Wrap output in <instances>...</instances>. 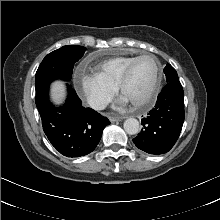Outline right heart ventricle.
<instances>
[{
    "instance_id": "right-heart-ventricle-1",
    "label": "right heart ventricle",
    "mask_w": 220,
    "mask_h": 220,
    "mask_svg": "<svg viewBox=\"0 0 220 220\" xmlns=\"http://www.w3.org/2000/svg\"><path fill=\"white\" fill-rule=\"evenodd\" d=\"M136 57V55L113 57L95 64L93 70L95 74L104 81L114 87H118V83L125 68Z\"/></svg>"
}]
</instances>
